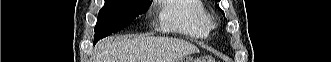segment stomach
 <instances>
[{"mask_svg": "<svg viewBox=\"0 0 331 62\" xmlns=\"http://www.w3.org/2000/svg\"><path fill=\"white\" fill-rule=\"evenodd\" d=\"M177 62H195L192 58L190 57H181Z\"/></svg>", "mask_w": 331, "mask_h": 62, "instance_id": "stomach-1", "label": "stomach"}]
</instances>
